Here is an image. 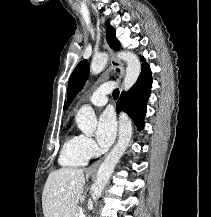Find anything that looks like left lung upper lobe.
<instances>
[{"label": "left lung upper lobe", "instance_id": "obj_1", "mask_svg": "<svg viewBox=\"0 0 211 217\" xmlns=\"http://www.w3.org/2000/svg\"><path fill=\"white\" fill-rule=\"evenodd\" d=\"M106 32H107V42L112 49L118 50L120 48V43L115 37V30L110 26L109 21L106 22ZM142 61H145L143 57H141ZM147 63H143L146 65ZM89 74V64L87 60H83L79 62L74 71L72 72L69 83H68V97H67V106L72 102L73 98L76 94L82 89L85 84V81Z\"/></svg>", "mask_w": 211, "mask_h": 217}]
</instances>
